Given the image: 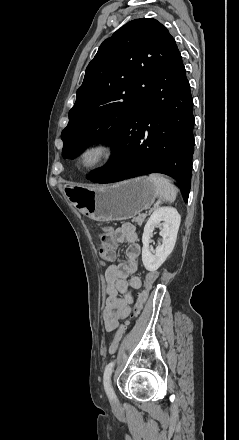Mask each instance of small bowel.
<instances>
[{
    "label": "small bowel",
    "mask_w": 239,
    "mask_h": 440,
    "mask_svg": "<svg viewBox=\"0 0 239 440\" xmlns=\"http://www.w3.org/2000/svg\"><path fill=\"white\" fill-rule=\"evenodd\" d=\"M123 242L128 244L126 261L118 265H109L105 272L106 304L103 321L108 332L115 330L120 320L129 316L130 305L133 303L132 292L142 286L141 278L134 275L138 267L141 247L137 243L136 228L133 224L125 223L115 230V247ZM115 247L110 261L115 258Z\"/></svg>",
    "instance_id": "small-bowel-1"
}]
</instances>
